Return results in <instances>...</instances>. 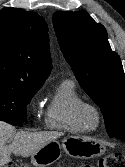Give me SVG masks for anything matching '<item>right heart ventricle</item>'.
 <instances>
[{
	"label": "right heart ventricle",
	"mask_w": 125,
	"mask_h": 167,
	"mask_svg": "<svg viewBox=\"0 0 125 167\" xmlns=\"http://www.w3.org/2000/svg\"><path fill=\"white\" fill-rule=\"evenodd\" d=\"M83 102L72 80L61 81L47 104L45 126L71 133L85 131L77 118V109Z\"/></svg>",
	"instance_id": "right-heart-ventricle-1"
}]
</instances>
